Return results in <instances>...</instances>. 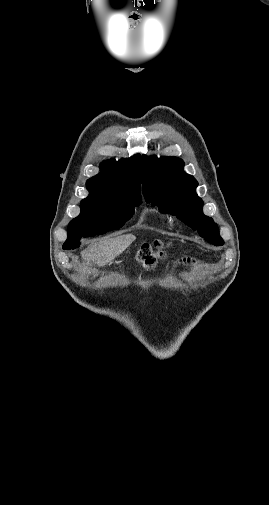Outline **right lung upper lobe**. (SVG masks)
<instances>
[{
	"instance_id": "obj_1",
	"label": "right lung upper lobe",
	"mask_w": 269,
	"mask_h": 505,
	"mask_svg": "<svg viewBox=\"0 0 269 505\" xmlns=\"http://www.w3.org/2000/svg\"><path fill=\"white\" fill-rule=\"evenodd\" d=\"M100 168L101 173L86 183L90 192L87 198L141 200L140 155L118 162L104 161Z\"/></svg>"
}]
</instances>
